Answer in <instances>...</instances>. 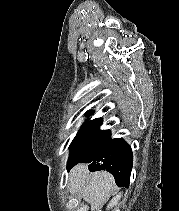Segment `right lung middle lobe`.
<instances>
[{
    "label": "right lung middle lobe",
    "mask_w": 179,
    "mask_h": 211,
    "mask_svg": "<svg viewBox=\"0 0 179 211\" xmlns=\"http://www.w3.org/2000/svg\"><path fill=\"white\" fill-rule=\"evenodd\" d=\"M101 124L102 118L83 124L69 147L71 153L68 165L76 163L93 153L110 139L111 134L109 130L99 131Z\"/></svg>",
    "instance_id": "dd1d6c3e"
}]
</instances>
